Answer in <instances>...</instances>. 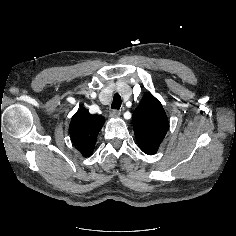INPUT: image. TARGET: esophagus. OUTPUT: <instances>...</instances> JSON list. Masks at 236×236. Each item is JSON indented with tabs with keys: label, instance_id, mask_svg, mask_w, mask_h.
Instances as JSON below:
<instances>
[{
	"label": "esophagus",
	"instance_id": "esophagus-1",
	"mask_svg": "<svg viewBox=\"0 0 236 236\" xmlns=\"http://www.w3.org/2000/svg\"><path fill=\"white\" fill-rule=\"evenodd\" d=\"M120 115H121V112L119 110L114 109V110L110 111V116L113 117V118H117Z\"/></svg>",
	"mask_w": 236,
	"mask_h": 236
}]
</instances>
